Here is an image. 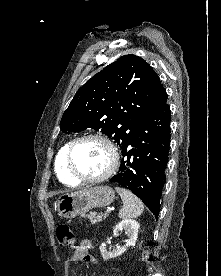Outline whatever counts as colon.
I'll return each instance as SVG.
<instances>
[{
	"instance_id": "1",
	"label": "colon",
	"mask_w": 221,
	"mask_h": 276,
	"mask_svg": "<svg viewBox=\"0 0 221 276\" xmlns=\"http://www.w3.org/2000/svg\"><path fill=\"white\" fill-rule=\"evenodd\" d=\"M56 237L60 246L72 247L74 244V234L67 224H60L56 229Z\"/></svg>"
}]
</instances>
